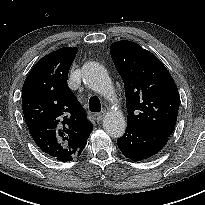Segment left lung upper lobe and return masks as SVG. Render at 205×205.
<instances>
[{
	"label": "left lung upper lobe",
	"mask_w": 205,
	"mask_h": 205,
	"mask_svg": "<svg viewBox=\"0 0 205 205\" xmlns=\"http://www.w3.org/2000/svg\"><path fill=\"white\" fill-rule=\"evenodd\" d=\"M110 53L124 81L127 125L169 137L176 125L180 98L167 68L132 41L113 43Z\"/></svg>",
	"instance_id": "obj_1"
}]
</instances>
